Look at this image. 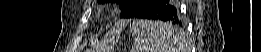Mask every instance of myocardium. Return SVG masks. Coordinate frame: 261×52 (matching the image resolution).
Here are the masks:
<instances>
[{
  "instance_id": "1",
  "label": "myocardium",
  "mask_w": 261,
  "mask_h": 52,
  "mask_svg": "<svg viewBox=\"0 0 261 52\" xmlns=\"http://www.w3.org/2000/svg\"><path fill=\"white\" fill-rule=\"evenodd\" d=\"M102 11H103V12H107V11H109V9H108V8H105V9H102Z\"/></svg>"
}]
</instances>
